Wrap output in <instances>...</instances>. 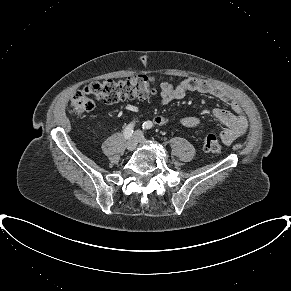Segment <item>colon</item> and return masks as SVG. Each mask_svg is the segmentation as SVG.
I'll return each mask as SVG.
<instances>
[{
  "mask_svg": "<svg viewBox=\"0 0 291 291\" xmlns=\"http://www.w3.org/2000/svg\"><path fill=\"white\" fill-rule=\"evenodd\" d=\"M156 83L157 79L148 75L97 81L72 96L70 109L76 114L90 112L95 106L93 97L107 104L130 99H146L156 93ZM168 121L169 118L166 116H158L155 118V122L158 125H164ZM203 148L205 151L212 153H221L223 151L219 139L215 134L205 136Z\"/></svg>",
  "mask_w": 291,
  "mask_h": 291,
  "instance_id": "1",
  "label": "colon"
}]
</instances>
